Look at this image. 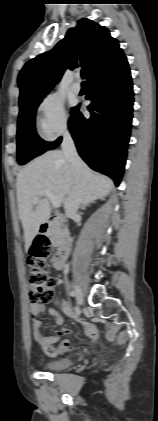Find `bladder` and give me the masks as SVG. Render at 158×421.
Instances as JSON below:
<instances>
[{
    "label": "bladder",
    "mask_w": 158,
    "mask_h": 421,
    "mask_svg": "<svg viewBox=\"0 0 158 421\" xmlns=\"http://www.w3.org/2000/svg\"><path fill=\"white\" fill-rule=\"evenodd\" d=\"M72 364L71 360L68 358H59L55 360H50L44 363V368L51 371H60L67 369Z\"/></svg>",
    "instance_id": "31cf9c89"
}]
</instances>
